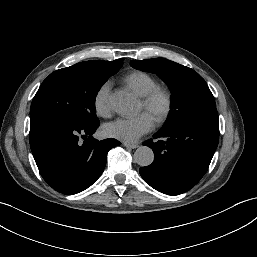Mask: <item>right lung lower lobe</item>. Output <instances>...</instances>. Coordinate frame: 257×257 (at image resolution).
Here are the masks:
<instances>
[{"mask_svg": "<svg viewBox=\"0 0 257 257\" xmlns=\"http://www.w3.org/2000/svg\"><path fill=\"white\" fill-rule=\"evenodd\" d=\"M99 122L76 126L50 118L30 121V147L44 180L56 191L76 194L102 174L108 151L120 145L109 138L95 140Z\"/></svg>", "mask_w": 257, "mask_h": 257, "instance_id": "obj_1", "label": "right lung lower lobe"}]
</instances>
